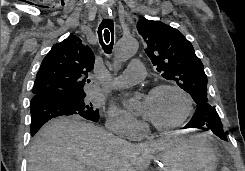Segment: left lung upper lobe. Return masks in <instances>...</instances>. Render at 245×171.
I'll return each instance as SVG.
<instances>
[{"label":"left lung upper lobe","mask_w":245,"mask_h":171,"mask_svg":"<svg viewBox=\"0 0 245 171\" xmlns=\"http://www.w3.org/2000/svg\"><path fill=\"white\" fill-rule=\"evenodd\" d=\"M137 30L145 52L162 77L175 81L199 106L208 104L207 76L201 60L184 35L161 21L141 19Z\"/></svg>","instance_id":"5c2ea615"}]
</instances>
